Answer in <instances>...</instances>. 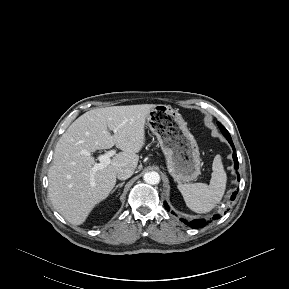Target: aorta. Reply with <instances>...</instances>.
Segmentation results:
<instances>
[{
    "label": "aorta",
    "instance_id": "1",
    "mask_svg": "<svg viewBox=\"0 0 289 289\" xmlns=\"http://www.w3.org/2000/svg\"><path fill=\"white\" fill-rule=\"evenodd\" d=\"M144 181L151 185L158 184L160 182V175L155 171L147 172L144 175Z\"/></svg>",
    "mask_w": 289,
    "mask_h": 289
}]
</instances>
